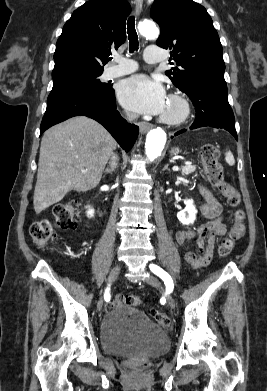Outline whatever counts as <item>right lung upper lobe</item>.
Returning <instances> with one entry per match:
<instances>
[{"label":"right lung upper lobe","instance_id":"cb5924a9","mask_svg":"<svg viewBox=\"0 0 267 391\" xmlns=\"http://www.w3.org/2000/svg\"><path fill=\"white\" fill-rule=\"evenodd\" d=\"M129 13L126 0H90L76 9L57 41L52 77L103 71L111 48L126 39Z\"/></svg>","mask_w":267,"mask_h":391}]
</instances>
